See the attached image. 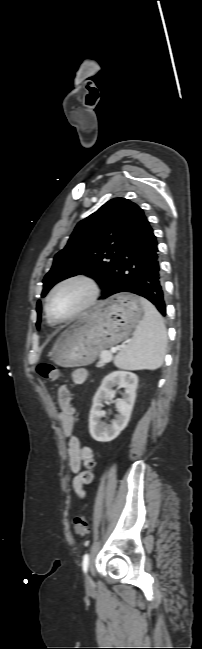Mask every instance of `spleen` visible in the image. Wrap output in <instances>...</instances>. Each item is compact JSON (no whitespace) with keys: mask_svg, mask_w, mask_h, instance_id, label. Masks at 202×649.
Segmentation results:
<instances>
[{"mask_svg":"<svg viewBox=\"0 0 202 649\" xmlns=\"http://www.w3.org/2000/svg\"><path fill=\"white\" fill-rule=\"evenodd\" d=\"M144 316L136 326L131 342L115 357L120 369L140 370L159 368L163 363L167 334L160 313L148 300L141 298Z\"/></svg>","mask_w":202,"mask_h":649,"instance_id":"spleen-1","label":"spleen"}]
</instances>
